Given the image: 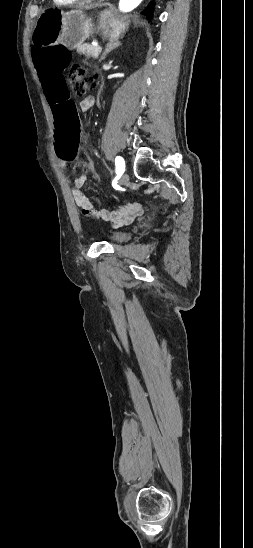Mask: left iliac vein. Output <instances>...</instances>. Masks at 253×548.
<instances>
[{
    "label": "left iliac vein",
    "instance_id": "1",
    "mask_svg": "<svg viewBox=\"0 0 253 548\" xmlns=\"http://www.w3.org/2000/svg\"><path fill=\"white\" fill-rule=\"evenodd\" d=\"M128 181H129V175L124 173L120 178V183L121 184H126Z\"/></svg>",
    "mask_w": 253,
    "mask_h": 548
}]
</instances>
